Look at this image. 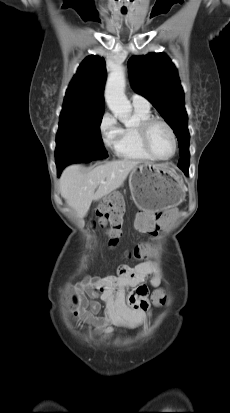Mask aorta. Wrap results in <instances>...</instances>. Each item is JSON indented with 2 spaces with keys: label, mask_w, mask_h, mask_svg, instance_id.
<instances>
[{
  "label": "aorta",
  "mask_w": 230,
  "mask_h": 413,
  "mask_svg": "<svg viewBox=\"0 0 230 413\" xmlns=\"http://www.w3.org/2000/svg\"><path fill=\"white\" fill-rule=\"evenodd\" d=\"M105 100L108 108L123 124H131L132 106L125 95V71L122 66H116L110 72L106 87Z\"/></svg>",
  "instance_id": "aorta-1"
}]
</instances>
